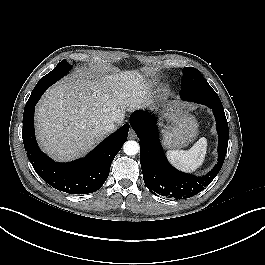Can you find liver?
Returning a JSON list of instances; mask_svg holds the SVG:
<instances>
[{
    "mask_svg": "<svg viewBox=\"0 0 265 265\" xmlns=\"http://www.w3.org/2000/svg\"><path fill=\"white\" fill-rule=\"evenodd\" d=\"M153 103L135 71L103 77H69L49 88L36 106V135L57 161L84 156L103 140L109 122L121 124L126 110Z\"/></svg>",
    "mask_w": 265,
    "mask_h": 265,
    "instance_id": "6515ba94",
    "label": "liver"
}]
</instances>
